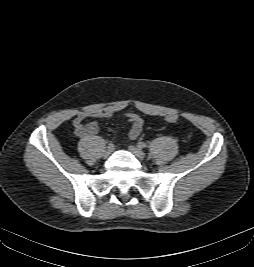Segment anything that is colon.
I'll return each instance as SVG.
<instances>
[{"label": "colon", "mask_w": 254, "mask_h": 267, "mask_svg": "<svg viewBox=\"0 0 254 267\" xmlns=\"http://www.w3.org/2000/svg\"><path fill=\"white\" fill-rule=\"evenodd\" d=\"M165 120H166L167 122H169V123H175V122H177V120H178V116L175 115V114L167 115V116L165 117Z\"/></svg>", "instance_id": "1"}]
</instances>
